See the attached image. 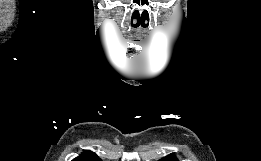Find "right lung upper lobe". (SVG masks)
Returning <instances> with one entry per match:
<instances>
[{
  "mask_svg": "<svg viewBox=\"0 0 261 161\" xmlns=\"http://www.w3.org/2000/svg\"><path fill=\"white\" fill-rule=\"evenodd\" d=\"M73 161H101V160L94 152L85 151L81 156L75 158Z\"/></svg>",
  "mask_w": 261,
  "mask_h": 161,
  "instance_id": "right-lung-upper-lobe-1",
  "label": "right lung upper lobe"
}]
</instances>
